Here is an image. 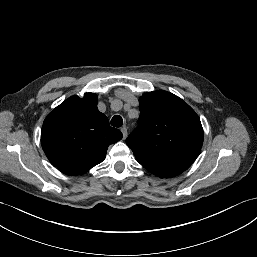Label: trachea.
Wrapping results in <instances>:
<instances>
[{
    "mask_svg": "<svg viewBox=\"0 0 257 257\" xmlns=\"http://www.w3.org/2000/svg\"><path fill=\"white\" fill-rule=\"evenodd\" d=\"M123 124V119L121 116L119 115H115L113 116V118L111 119V125L114 126V127H121Z\"/></svg>",
    "mask_w": 257,
    "mask_h": 257,
    "instance_id": "obj_1",
    "label": "trachea"
}]
</instances>
